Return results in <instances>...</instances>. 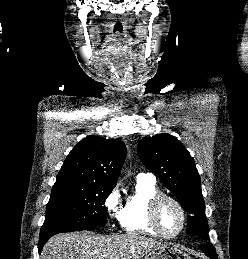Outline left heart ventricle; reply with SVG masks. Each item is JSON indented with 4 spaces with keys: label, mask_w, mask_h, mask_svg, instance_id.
I'll return each mask as SVG.
<instances>
[{
    "label": "left heart ventricle",
    "mask_w": 248,
    "mask_h": 259,
    "mask_svg": "<svg viewBox=\"0 0 248 259\" xmlns=\"http://www.w3.org/2000/svg\"><path fill=\"white\" fill-rule=\"evenodd\" d=\"M159 222L167 234H175L181 227L182 217L179 209L171 201H164L159 208Z\"/></svg>",
    "instance_id": "b2bd125f"
}]
</instances>
